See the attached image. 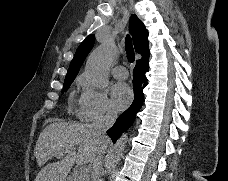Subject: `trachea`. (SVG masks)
<instances>
[{"instance_id":"1","label":"trachea","mask_w":228,"mask_h":181,"mask_svg":"<svg viewBox=\"0 0 228 181\" xmlns=\"http://www.w3.org/2000/svg\"><path fill=\"white\" fill-rule=\"evenodd\" d=\"M125 49H126L127 60L130 63H133L135 61V52L132 45V40L129 35H127V37L125 38Z\"/></svg>"}]
</instances>
